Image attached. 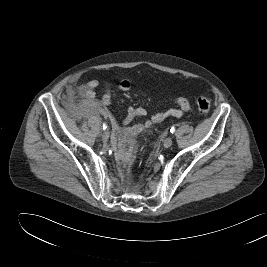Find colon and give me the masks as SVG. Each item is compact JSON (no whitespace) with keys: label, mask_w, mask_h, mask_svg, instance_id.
<instances>
[{"label":"colon","mask_w":267,"mask_h":267,"mask_svg":"<svg viewBox=\"0 0 267 267\" xmlns=\"http://www.w3.org/2000/svg\"><path fill=\"white\" fill-rule=\"evenodd\" d=\"M196 106L199 112L206 114L210 111L211 104L205 96H199L196 100Z\"/></svg>","instance_id":"obj_1"}]
</instances>
